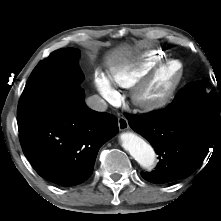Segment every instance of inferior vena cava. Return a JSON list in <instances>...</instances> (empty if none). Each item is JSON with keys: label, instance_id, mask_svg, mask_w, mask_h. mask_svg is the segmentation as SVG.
I'll return each instance as SVG.
<instances>
[{"label": "inferior vena cava", "instance_id": "obj_1", "mask_svg": "<svg viewBox=\"0 0 221 221\" xmlns=\"http://www.w3.org/2000/svg\"><path fill=\"white\" fill-rule=\"evenodd\" d=\"M86 104L89 108L99 112H104L108 107L107 103L98 95L88 97Z\"/></svg>", "mask_w": 221, "mask_h": 221}]
</instances>
